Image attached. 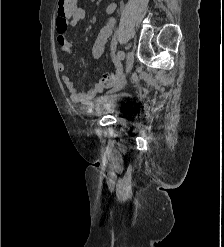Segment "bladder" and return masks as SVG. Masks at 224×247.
I'll use <instances>...</instances> for the list:
<instances>
[{
    "label": "bladder",
    "mask_w": 224,
    "mask_h": 247,
    "mask_svg": "<svg viewBox=\"0 0 224 247\" xmlns=\"http://www.w3.org/2000/svg\"><path fill=\"white\" fill-rule=\"evenodd\" d=\"M132 98L126 93L104 94L98 99V105L102 112L112 115L124 114L131 106Z\"/></svg>",
    "instance_id": "bladder-1"
}]
</instances>
